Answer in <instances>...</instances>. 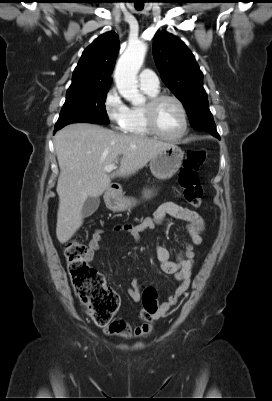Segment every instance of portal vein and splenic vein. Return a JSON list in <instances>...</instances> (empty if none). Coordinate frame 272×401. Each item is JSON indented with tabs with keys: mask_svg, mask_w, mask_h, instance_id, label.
<instances>
[{
	"mask_svg": "<svg viewBox=\"0 0 272 401\" xmlns=\"http://www.w3.org/2000/svg\"><path fill=\"white\" fill-rule=\"evenodd\" d=\"M114 169H116L115 164H110V165L104 167V170H105L106 172H111V171H113Z\"/></svg>",
	"mask_w": 272,
	"mask_h": 401,
	"instance_id": "18ae733b",
	"label": "portal vein and splenic vein"
}]
</instances>
